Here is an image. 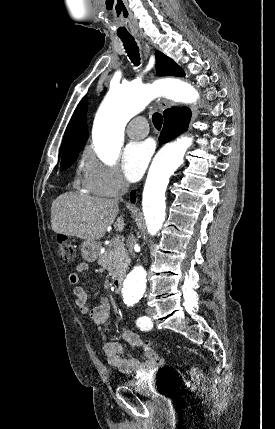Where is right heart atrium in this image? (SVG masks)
<instances>
[{"label": "right heart atrium", "mask_w": 275, "mask_h": 429, "mask_svg": "<svg viewBox=\"0 0 275 429\" xmlns=\"http://www.w3.org/2000/svg\"><path fill=\"white\" fill-rule=\"evenodd\" d=\"M82 182L86 190L104 197H114L127 187L118 168L103 163L90 150L83 155Z\"/></svg>", "instance_id": "right-heart-atrium-1"}]
</instances>
